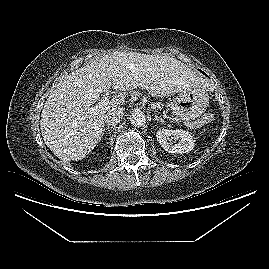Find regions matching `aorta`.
<instances>
[{"label":"aorta","instance_id":"obj_1","mask_svg":"<svg viewBox=\"0 0 269 269\" xmlns=\"http://www.w3.org/2000/svg\"><path fill=\"white\" fill-rule=\"evenodd\" d=\"M129 119H130V123L133 126H136V127H141L146 122L145 114L142 111H140V110L133 111L131 113Z\"/></svg>","mask_w":269,"mask_h":269}]
</instances>
